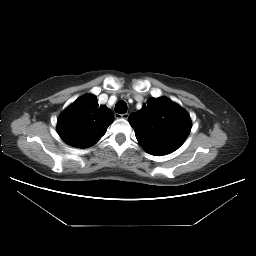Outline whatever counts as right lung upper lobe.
I'll return each instance as SVG.
<instances>
[{"mask_svg":"<svg viewBox=\"0 0 256 256\" xmlns=\"http://www.w3.org/2000/svg\"><path fill=\"white\" fill-rule=\"evenodd\" d=\"M113 115L106 107L98 108L95 97L75 101L60 116L58 132L69 145L87 148L94 145L112 123Z\"/></svg>","mask_w":256,"mask_h":256,"instance_id":"1","label":"right lung upper lobe"}]
</instances>
